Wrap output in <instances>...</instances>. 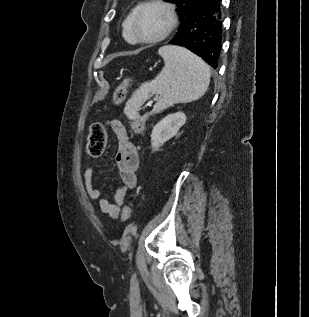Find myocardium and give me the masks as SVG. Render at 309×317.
<instances>
[{
	"label": "myocardium",
	"mask_w": 309,
	"mask_h": 317,
	"mask_svg": "<svg viewBox=\"0 0 309 317\" xmlns=\"http://www.w3.org/2000/svg\"><path fill=\"white\" fill-rule=\"evenodd\" d=\"M149 7H159L163 9L166 12L169 20H168L167 27L160 35L153 38H144L140 35L138 31L137 23L141 13ZM177 23H178V17L174 9V6L171 3L166 2L164 0H147L137 7L133 15L132 32L136 41L141 43H146V44H153V43H158L166 39L176 28Z\"/></svg>",
	"instance_id": "myocardium-1"
}]
</instances>
